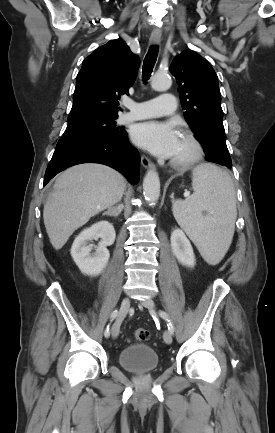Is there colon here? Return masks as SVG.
<instances>
[{"instance_id":"colon-1","label":"colon","mask_w":275,"mask_h":433,"mask_svg":"<svg viewBox=\"0 0 275 433\" xmlns=\"http://www.w3.org/2000/svg\"><path fill=\"white\" fill-rule=\"evenodd\" d=\"M150 333L145 328H137L134 331V337L138 341H146L149 339Z\"/></svg>"}]
</instances>
